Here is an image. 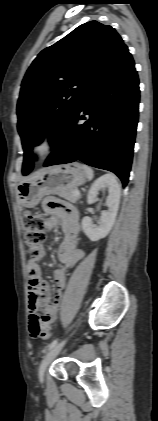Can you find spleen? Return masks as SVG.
Returning <instances> with one entry per match:
<instances>
[{"label": "spleen", "mask_w": 158, "mask_h": 421, "mask_svg": "<svg viewBox=\"0 0 158 421\" xmlns=\"http://www.w3.org/2000/svg\"><path fill=\"white\" fill-rule=\"evenodd\" d=\"M82 169L84 170V172H85V174L87 176V179L88 180H92V178L94 176V172H93L92 168H90L87 165H82Z\"/></svg>", "instance_id": "spleen-1"}]
</instances>
